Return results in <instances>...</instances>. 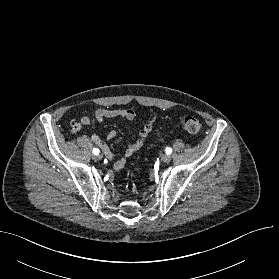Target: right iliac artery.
<instances>
[{"label": "right iliac artery", "mask_w": 279, "mask_h": 279, "mask_svg": "<svg viewBox=\"0 0 279 279\" xmlns=\"http://www.w3.org/2000/svg\"><path fill=\"white\" fill-rule=\"evenodd\" d=\"M93 153H94L95 155L99 154V149L94 148V149H93Z\"/></svg>", "instance_id": "82829eb1"}]
</instances>
